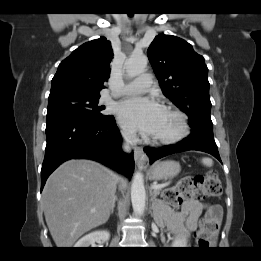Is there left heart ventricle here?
I'll list each match as a JSON object with an SVG mask.
<instances>
[{
    "mask_svg": "<svg viewBox=\"0 0 261 261\" xmlns=\"http://www.w3.org/2000/svg\"><path fill=\"white\" fill-rule=\"evenodd\" d=\"M178 130V120L168 112H164L159 128L154 134L155 137L171 136Z\"/></svg>",
    "mask_w": 261,
    "mask_h": 261,
    "instance_id": "obj_1",
    "label": "left heart ventricle"
}]
</instances>
